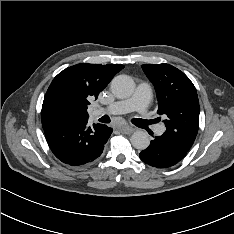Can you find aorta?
<instances>
[{
    "instance_id": "aorta-1",
    "label": "aorta",
    "mask_w": 234,
    "mask_h": 234,
    "mask_svg": "<svg viewBox=\"0 0 234 234\" xmlns=\"http://www.w3.org/2000/svg\"><path fill=\"white\" fill-rule=\"evenodd\" d=\"M111 90L117 98H128L134 92V81L127 75L116 76L111 82ZM130 140L132 146L138 150H144L150 144L149 135L142 130L134 132Z\"/></svg>"
}]
</instances>
